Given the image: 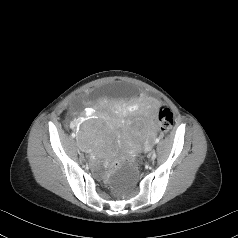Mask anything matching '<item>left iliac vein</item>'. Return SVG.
<instances>
[{
	"label": "left iliac vein",
	"instance_id": "left-iliac-vein-1",
	"mask_svg": "<svg viewBox=\"0 0 238 238\" xmlns=\"http://www.w3.org/2000/svg\"><path fill=\"white\" fill-rule=\"evenodd\" d=\"M155 157H156V153L152 152L151 155H150L151 161H154Z\"/></svg>",
	"mask_w": 238,
	"mask_h": 238
}]
</instances>
